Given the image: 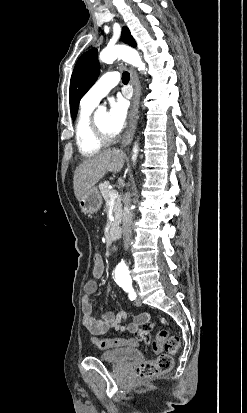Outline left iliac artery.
I'll return each mask as SVG.
<instances>
[{
	"instance_id": "44dca946",
	"label": "left iliac artery",
	"mask_w": 247,
	"mask_h": 413,
	"mask_svg": "<svg viewBox=\"0 0 247 413\" xmlns=\"http://www.w3.org/2000/svg\"><path fill=\"white\" fill-rule=\"evenodd\" d=\"M121 287L123 288L125 292L128 293V297L131 301L136 299V293L131 284H124V285H121Z\"/></svg>"
}]
</instances>
